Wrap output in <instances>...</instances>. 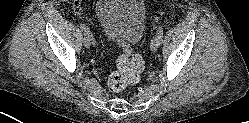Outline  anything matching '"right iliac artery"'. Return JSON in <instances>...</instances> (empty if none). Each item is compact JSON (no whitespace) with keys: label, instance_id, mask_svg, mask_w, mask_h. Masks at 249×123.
I'll return each instance as SVG.
<instances>
[{"label":"right iliac artery","instance_id":"right-iliac-artery-1","mask_svg":"<svg viewBox=\"0 0 249 123\" xmlns=\"http://www.w3.org/2000/svg\"><path fill=\"white\" fill-rule=\"evenodd\" d=\"M80 28L84 32V34H87V35L90 36L91 41L94 44L95 40H94V38H93V36H92L91 31L89 30V28L85 24H80Z\"/></svg>","mask_w":249,"mask_h":123}]
</instances>
